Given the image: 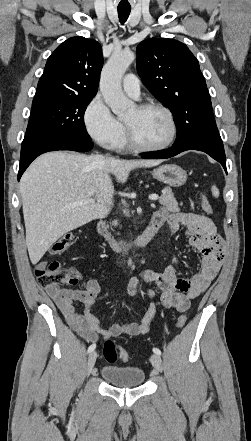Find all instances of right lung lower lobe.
<instances>
[{
    "mask_svg": "<svg viewBox=\"0 0 251 441\" xmlns=\"http://www.w3.org/2000/svg\"><path fill=\"white\" fill-rule=\"evenodd\" d=\"M93 145L91 139L74 140L43 129L27 128L21 146L18 181L30 163L43 153L56 150L87 152L93 148Z\"/></svg>",
    "mask_w": 251,
    "mask_h": 441,
    "instance_id": "1",
    "label": "right lung lower lobe"
}]
</instances>
